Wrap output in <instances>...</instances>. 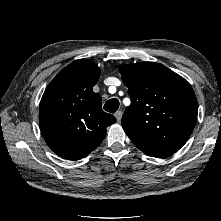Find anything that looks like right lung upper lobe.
<instances>
[{"label": "right lung upper lobe", "mask_w": 221, "mask_h": 221, "mask_svg": "<svg viewBox=\"0 0 221 221\" xmlns=\"http://www.w3.org/2000/svg\"><path fill=\"white\" fill-rule=\"evenodd\" d=\"M100 77L99 67L79 59L47 86L39 110L41 133L48 146L68 160L81 159L103 141L107 126L116 118L102 111V99L92 88Z\"/></svg>", "instance_id": "obj_1"}]
</instances>
